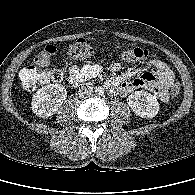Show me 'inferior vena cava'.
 <instances>
[{
  "label": "inferior vena cava",
  "instance_id": "602c4592",
  "mask_svg": "<svg viewBox=\"0 0 195 195\" xmlns=\"http://www.w3.org/2000/svg\"><path fill=\"white\" fill-rule=\"evenodd\" d=\"M80 97H90L93 93V87L91 86H82L79 89Z\"/></svg>",
  "mask_w": 195,
  "mask_h": 195
}]
</instances>
